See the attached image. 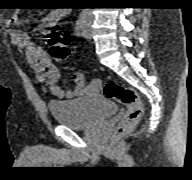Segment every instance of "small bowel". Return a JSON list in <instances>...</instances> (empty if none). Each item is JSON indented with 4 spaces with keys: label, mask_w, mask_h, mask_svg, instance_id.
Listing matches in <instances>:
<instances>
[{
    "label": "small bowel",
    "mask_w": 192,
    "mask_h": 180,
    "mask_svg": "<svg viewBox=\"0 0 192 180\" xmlns=\"http://www.w3.org/2000/svg\"><path fill=\"white\" fill-rule=\"evenodd\" d=\"M69 13V9L64 7L53 9L43 18V22L47 26H56L59 22L66 19ZM11 21L13 24L20 23L19 11L13 12ZM11 36L14 43L26 51L28 60L34 67L38 80L43 84L44 89L54 97L59 99L72 98L86 93H93L100 89L101 82L99 80H94L87 84L85 75L81 72L75 74L74 87L71 90L62 89L57 85L59 79L58 70L45 50L36 46L25 32L15 30L12 31Z\"/></svg>",
    "instance_id": "small-bowel-1"
}]
</instances>
